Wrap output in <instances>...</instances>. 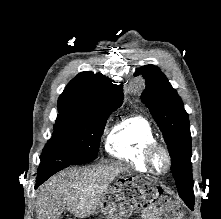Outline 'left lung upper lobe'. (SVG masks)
<instances>
[{"mask_svg":"<svg viewBox=\"0 0 221 219\" xmlns=\"http://www.w3.org/2000/svg\"><path fill=\"white\" fill-rule=\"evenodd\" d=\"M139 74L146 79L142 101L149 108L163 133L171 156V171L179 195L192 209L194 194L188 114L176 90L159 68L154 65H146L136 71L135 75Z\"/></svg>","mask_w":221,"mask_h":219,"instance_id":"1","label":"left lung upper lobe"}]
</instances>
